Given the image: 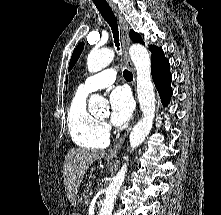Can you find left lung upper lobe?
<instances>
[{
  "label": "left lung upper lobe",
  "instance_id": "1",
  "mask_svg": "<svg viewBox=\"0 0 221 215\" xmlns=\"http://www.w3.org/2000/svg\"><path fill=\"white\" fill-rule=\"evenodd\" d=\"M130 39L134 42L144 44L141 36L138 33L134 32L133 30L130 31ZM83 47H84V42L78 44V46L74 50V52L72 54V57H71V60H70V64H69V71L72 69V67L75 65L76 61L78 60V58H79V56H80V54L83 50ZM155 48H157V47L154 46V45L149 46V49L151 50V52Z\"/></svg>",
  "mask_w": 221,
  "mask_h": 215
}]
</instances>
